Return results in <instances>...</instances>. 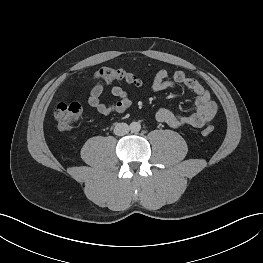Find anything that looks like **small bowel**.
I'll return each mask as SVG.
<instances>
[{
  "label": "small bowel",
  "mask_w": 263,
  "mask_h": 263,
  "mask_svg": "<svg viewBox=\"0 0 263 263\" xmlns=\"http://www.w3.org/2000/svg\"><path fill=\"white\" fill-rule=\"evenodd\" d=\"M177 85L188 88L195 95L196 111L191 114H176L166 107H160L156 112L157 121L172 128L208 126L216 114L217 105L208 90L195 78L187 76L183 71H176L169 77V72L161 69L153 78L151 90L161 92ZM105 86L106 84L101 82L93 85L87 96V104L103 116L124 113L132 104L128 92L120 86H112L110 92L117 101L106 104L101 101Z\"/></svg>",
  "instance_id": "1"
}]
</instances>
